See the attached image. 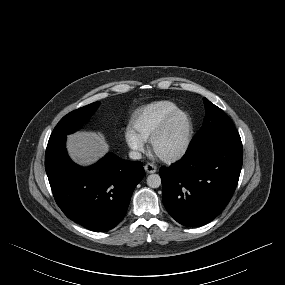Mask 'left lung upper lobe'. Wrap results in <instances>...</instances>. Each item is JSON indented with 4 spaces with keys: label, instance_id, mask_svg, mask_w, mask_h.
Returning <instances> with one entry per match:
<instances>
[{
    "label": "left lung upper lobe",
    "instance_id": "5c2ea615",
    "mask_svg": "<svg viewBox=\"0 0 285 285\" xmlns=\"http://www.w3.org/2000/svg\"><path fill=\"white\" fill-rule=\"evenodd\" d=\"M206 116L203 126L191 142L188 152L209 146L241 142L232 120L216 105L203 98Z\"/></svg>",
    "mask_w": 285,
    "mask_h": 285
}]
</instances>
